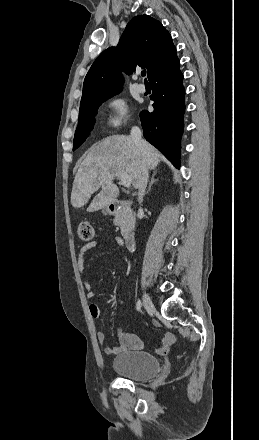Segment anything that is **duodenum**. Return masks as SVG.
<instances>
[{
	"label": "duodenum",
	"instance_id": "duodenum-1",
	"mask_svg": "<svg viewBox=\"0 0 259 440\" xmlns=\"http://www.w3.org/2000/svg\"><path fill=\"white\" fill-rule=\"evenodd\" d=\"M129 203L122 201V200H113L109 205H108V211L110 214H117L118 211L124 207V206H128ZM124 242L125 245L128 249H131L134 246V235L132 232H126L124 235Z\"/></svg>",
	"mask_w": 259,
	"mask_h": 440
}]
</instances>
